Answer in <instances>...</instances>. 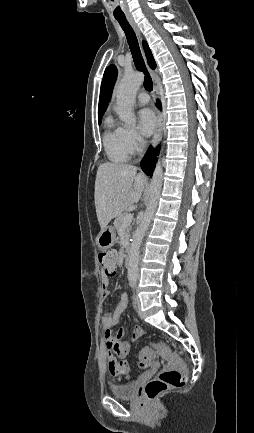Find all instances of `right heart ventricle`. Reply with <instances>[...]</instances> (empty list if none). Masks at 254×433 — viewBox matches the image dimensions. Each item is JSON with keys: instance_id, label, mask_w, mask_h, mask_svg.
I'll use <instances>...</instances> for the list:
<instances>
[{"instance_id": "e07e8e85", "label": "right heart ventricle", "mask_w": 254, "mask_h": 433, "mask_svg": "<svg viewBox=\"0 0 254 433\" xmlns=\"http://www.w3.org/2000/svg\"><path fill=\"white\" fill-rule=\"evenodd\" d=\"M103 146L107 158L114 163H124L131 155L124 139L123 128L116 125L111 117L105 120Z\"/></svg>"}]
</instances>
